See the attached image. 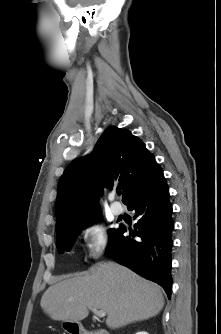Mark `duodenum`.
Here are the masks:
<instances>
[{"label":"duodenum","instance_id":"1","mask_svg":"<svg viewBox=\"0 0 221 334\" xmlns=\"http://www.w3.org/2000/svg\"><path fill=\"white\" fill-rule=\"evenodd\" d=\"M70 332L72 334H110L108 331L104 329L86 330L81 327H76L74 329H71Z\"/></svg>","mask_w":221,"mask_h":334}]
</instances>
